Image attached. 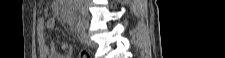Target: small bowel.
Masks as SVG:
<instances>
[{"instance_id": "c3829d8e", "label": "small bowel", "mask_w": 225, "mask_h": 58, "mask_svg": "<svg viewBox=\"0 0 225 58\" xmlns=\"http://www.w3.org/2000/svg\"><path fill=\"white\" fill-rule=\"evenodd\" d=\"M40 24L44 25V21L42 19L40 20ZM45 26L49 30H54V19H48L45 22ZM59 48L66 51V55L60 54L58 51ZM73 51L74 47L71 44L63 42L59 39H56L54 42H52L50 46L43 45L41 48V54L43 58H71Z\"/></svg>"}]
</instances>
